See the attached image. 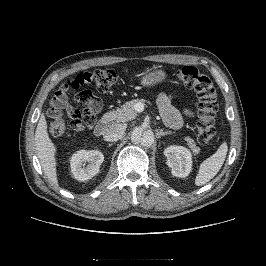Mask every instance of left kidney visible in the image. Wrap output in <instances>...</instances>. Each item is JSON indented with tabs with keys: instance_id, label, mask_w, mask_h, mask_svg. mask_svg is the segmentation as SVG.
I'll return each mask as SVG.
<instances>
[{
	"instance_id": "left-kidney-1",
	"label": "left kidney",
	"mask_w": 266,
	"mask_h": 266,
	"mask_svg": "<svg viewBox=\"0 0 266 266\" xmlns=\"http://www.w3.org/2000/svg\"><path fill=\"white\" fill-rule=\"evenodd\" d=\"M166 164L175 177H187L192 170V154L183 146H169L164 150Z\"/></svg>"
}]
</instances>
